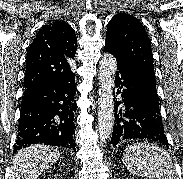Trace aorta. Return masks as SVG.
Masks as SVG:
<instances>
[{
    "mask_svg": "<svg viewBox=\"0 0 183 179\" xmlns=\"http://www.w3.org/2000/svg\"><path fill=\"white\" fill-rule=\"evenodd\" d=\"M117 61L111 54H105L99 67L98 132L101 142L110 139L114 127L113 87Z\"/></svg>",
    "mask_w": 183,
    "mask_h": 179,
    "instance_id": "obj_1",
    "label": "aorta"
}]
</instances>
